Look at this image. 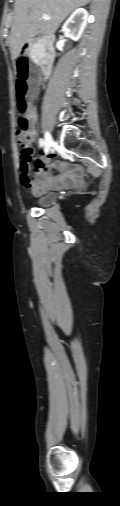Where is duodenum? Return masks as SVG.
<instances>
[{
	"mask_svg": "<svg viewBox=\"0 0 120 506\" xmlns=\"http://www.w3.org/2000/svg\"><path fill=\"white\" fill-rule=\"evenodd\" d=\"M29 44H37L42 48V57L39 62V67L43 75H48L54 60L53 38L50 36L35 37L30 41ZM19 56L21 58H26L28 56L26 47H21Z\"/></svg>",
	"mask_w": 120,
	"mask_h": 506,
	"instance_id": "1",
	"label": "duodenum"
}]
</instances>
